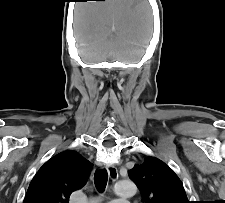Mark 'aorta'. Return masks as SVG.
<instances>
[{"label": "aorta", "instance_id": "1", "mask_svg": "<svg viewBox=\"0 0 225 203\" xmlns=\"http://www.w3.org/2000/svg\"><path fill=\"white\" fill-rule=\"evenodd\" d=\"M114 191L120 197H130L136 193V186L131 180H121L115 184Z\"/></svg>", "mask_w": 225, "mask_h": 203}]
</instances>
